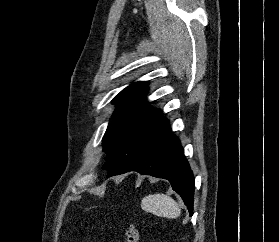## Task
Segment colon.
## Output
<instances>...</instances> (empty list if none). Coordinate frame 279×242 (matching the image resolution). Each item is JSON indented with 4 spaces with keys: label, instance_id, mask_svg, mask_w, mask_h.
Returning <instances> with one entry per match:
<instances>
[{
    "label": "colon",
    "instance_id": "colon-1",
    "mask_svg": "<svg viewBox=\"0 0 279 242\" xmlns=\"http://www.w3.org/2000/svg\"><path fill=\"white\" fill-rule=\"evenodd\" d=\"M124 234L127 242H139V232L135 226H128Z\"/></svg>",
    "mask_w": 279,
    "mask_h": 242
}]
</instances>
